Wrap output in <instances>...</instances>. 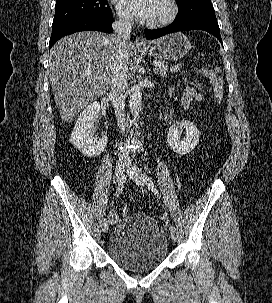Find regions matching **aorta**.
<instances>
[{
  "label": "aorta",
  "instance_id": "1",
  "mask_svg": "<svg viewBox=\"0 0 272 303\" xmlns=\"http://www.w3.org/2000/svg\"><path fill=\"white\" fill-rule=\"evenodd\" d=\"M129 106L134 120L139 117V113L142 108V92L138 85H134L130 89L129 94Z\"/></svg>",
  "mask_w": 272,
  "mask_h": 303
}]
</instances>
